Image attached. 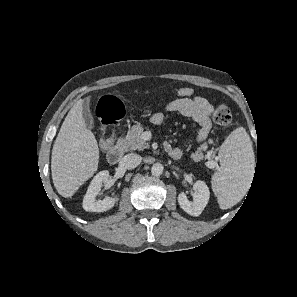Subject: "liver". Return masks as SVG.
<instances>
[{
	"mask_svg": "<svg viewBox=\"0 0 297 297\" xmlns=\"http://www.w3.org/2000/svg\"><path fill=\"white\" fill-rule=\"evenodd\" d=\"M83 102L78 100L67 114L52 149V180L65 198L73 196L98 169L99 148L86 127Z\"/></svg>",
	"mask_w": 297,
	"mask_h": 297,
	"instance_id": "1",
	"label": "liver"
}]
</instances>
